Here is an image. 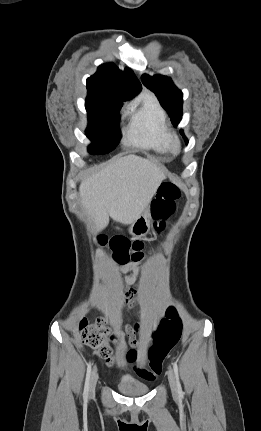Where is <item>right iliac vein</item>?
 <instances>
[{"label":"right iliac vein","mask_w":261,"mask_h":431,"mask_svg":"<svg viewBox=\"0 0 261 431\" xmlns=\"http://www.w3.org/2000/svg\"><path fill=\"white\" fill-rule=\"evenodd\" d=\"M98 380V374H97V369L94 368L92 375H91V380H90V392H94L95 387H96V383Z\"/></svg>","instance_id":"1"}]
</instances>
